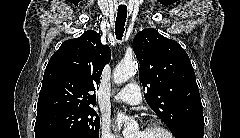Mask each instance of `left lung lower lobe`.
Returning <instances> with one entry per match:
<instances>
[{
	"instance_id": "obj_1",
	"label": "left lung lower lobe",
	"mask_w": 240,
	"mask_h": 138,
	"mask_svg": "<svg viewBox=\"0 0 240 138\" xmlns=\"http://www.w3.org/2000/svg\"><path fill=\"white\" fill-rule=\"evenodd\" d=\"M204 121L198 120L181 127L175 134V138H203Z\"/></svg>"
}]
</instances>
